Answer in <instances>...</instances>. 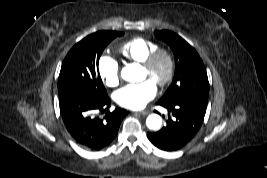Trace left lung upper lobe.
Wrapping results in <instances>:
<instances>
[{
  "label": "left lung upper lobe",
  "mask_w": 267,
  "mask_h": 178,
  "mask_svg": "<svg viewBox=\"0 0 267 178\" xmlns=\"http://www.w3.org/2000/svg\"><path fill=\"white\" fill-rule=\"evenodd\" d=\"M155 36L172 48L176 65L173 82L159 101H193L207 106L209 82L198 53L174 32L156 31Z\"/></svg>",
  "instance_id": "left-lung-upper-lobe-1"
}]
</instances>
